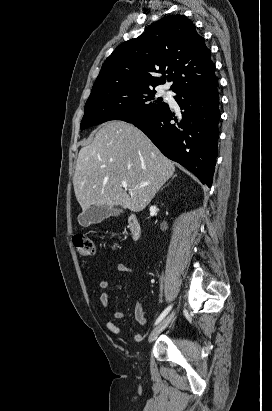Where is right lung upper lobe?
<instances>
[{"label": "right lung upper lobe", "mask_w": 272, "mask_h": 411, "mask_svg": "<svg viewBox=\"0 0 272 411\" xmlns=\"http://www.w3.org/2000/svg\"><path fill=\"white\" fill-rule=\"evenodd\" d=\"M214 69L196 27L183 15H170L118 46L102 65L91 92L119 86L155 87L167 81H173L171 90L177 92L207 84L215 78Z\"/></svg>", "instance_id": "obj_1"}]
</instances>
